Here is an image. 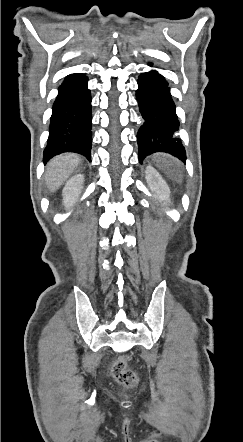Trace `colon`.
Wrapping results in <instances>:
<instances>
[{
	"label": "colon",
	"instance_id": "5ec220e1",
	"mask_svg": "<svg viewBox=\"0 0 243 442\" xmlns=\"http://www.w3.org/2000/svg\"><path fill=\"white\" fill-rule=\"evenodd\" d=\"M111 371L114 378L127 388L134 387L138 382L137 375L127 367V357L125 355H121L116 359Z\"/></svg>",
	"mask_w": 243,
	"mask_h": 442
}]
</instances>
